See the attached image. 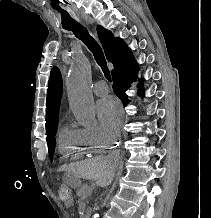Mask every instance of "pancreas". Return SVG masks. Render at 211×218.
<instances>
[{"instance_id": "cf45deb5", "label": "pancreas", "mask_w": 211, "mask_h": 218, "mask_svg": "<svg viewBox=\"0 0 211 218\" xmlns=\"http://www.w3.org/2000/svg\"><path fill=\"white\" fill-rule=\"evenodd\" d=\"M81 190H76V195H86L85 199L89 200L91 195V186H81Z\"/></svg>"}]
</instances>
